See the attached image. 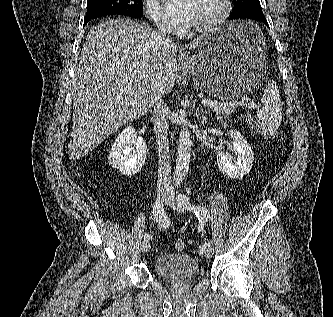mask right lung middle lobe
Wrapping results in <instances>:
<instances>
[{"label": "right lung middle lobe", "instance_id": "dd1d6c3e", "mask_svg": "<svg viewBox=\"0 0 333 317\" xmlns=\"http://www.w3.org/2000/svg\"><path fill=\"white\" fill-rule=\"evenodd\" d=\"M120 14L139 18L142 14L141 0H88L87 18Z\"/></svg>", "mask_w": 333, "mask_h": 317}]
</instances>
